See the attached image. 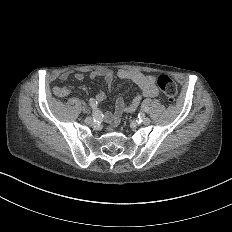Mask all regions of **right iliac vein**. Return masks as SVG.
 I'll use <instances>...</instances> for the list:
<instances>
[{"mask_svg": "<svg viewBox=\"0 0 232 232\" xmlns=\"http://www.w3.org/2000/svg\"><path fill=\"white\" fill-rule=\"evenodd\" d=\"M84 122L87 123L88 125H91V124H92V119H91V117L85 118V119H84Z\"/></svg>", "mask_w": 232, "mask_h": 232, "instance_id": "right-iliac-vein-1", "label": "right iliac vein"}]
</instances>
